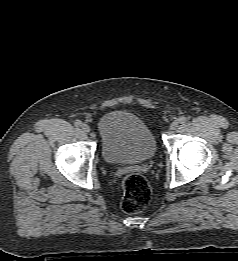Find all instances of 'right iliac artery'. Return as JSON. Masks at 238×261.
<instances>
[{
  "instance_id": "right-iliac-artery-1",
  "label": "right iliac artery",
  "mask_w": 238,
  "mask_h": 261,
  "mask_svg": "<svg viewBox=\"0 0 238 261\" xmlns=\"http://www.w3.org/2000/svg\"><path fill=\"white\" fill-rule=\"evenodd\" d=\"M74 124H75L76 127L82 126V122L80 120H76Z\"/></svg>"
}]
</instances>
